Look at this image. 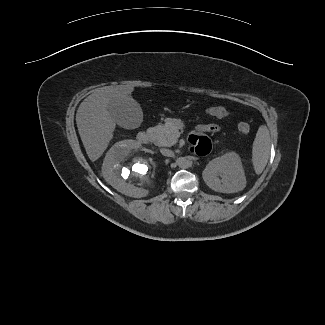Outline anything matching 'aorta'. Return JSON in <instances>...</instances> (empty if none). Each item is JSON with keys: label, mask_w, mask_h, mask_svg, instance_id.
I'll list each match as a JSON object with an SVG mask.
<instances>
[{"label": "aorta", "mask_w": 325, "mask_h": 325, "mask_svg": "<svg viewBox=\"0 0 325 325\" xmlns=\"http://www.w3.org/2000/svg\"><path fill=\"white\" fill-rule=\"evenodd\" d=\"M177 164L181 167V168H187L189 167V161L185 158V157H179L177 159Z\"/></svg>", "instance_id": "762f6f07"}]
</instances>
